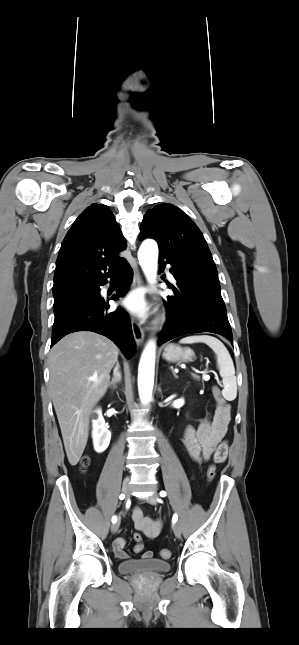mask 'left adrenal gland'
<instances>
[{
    "mask_svg": "<svg viewBox=\"0 0 299 645\" xmlns=\"http://www.w3.org/2000/svg\"><path fill=\"white\" fill-rule=\"evenodd\" d=\"M170 369H171V371H172V373H173L174 377H176V378H177V375H176V374H175V372H174V368L171 366V367H170Z\"/></svg>",
    "mask_w": 299,
    "mask_h": 645,
    "instance_id": "a2214340",
    "label": "left adrenal gland"
}]
</instances>
